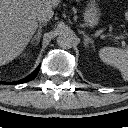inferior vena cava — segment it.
<instances>
[{
  "mask_svg": "<svg viewBox=\"0 0 128 128\" xmlns=\"http://www.w3.org/2000/svg\"><path fill=\"white\" fill-rule=\"evenodd\" d=\"M52 14L48 11H43L41 13L38 14L37 16V20L40 22V23H47L48 21L51 20L52 18Z\"/></svg>",
  "mask_w": 128,
  "mask_h": 128,
  "instance_id": "1",
  "label": "inferior vena cava"
}]
</instances>
